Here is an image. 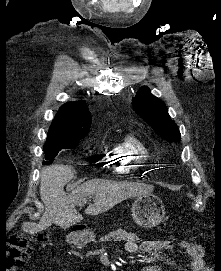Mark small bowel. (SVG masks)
I'll use <instances>...</instances> for the list:
<instances>
[{
  "instance_id": "small-bowel-1",
  "label": "small bowel",
  "mask_w": 221,
  "mask_h": 271,
  "mask_svg": "<svg viewBox=\"0 0 221 271\" xmlns=\"http://www.w3.org/2000/svg\"><path fill=\"white\" fill-rule=\"evenodd\" d=\"M127 252L136 253H157L162 250L169 251L171 253L184 252L190 262V268L192 271H210L206 267L203 256L204 250L202 246L196 243L189 242L187 240H148L142 243H137L134 240H128L125 244ZM141 271H162L159 265L151 264L144 266Z\"/></svg>"
}]
</instances>
